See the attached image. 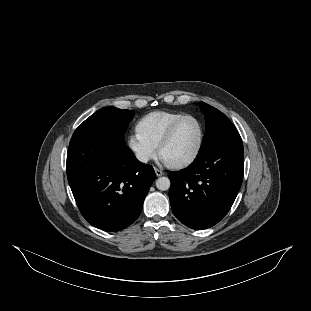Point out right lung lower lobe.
<instances>
[{"instance_id": "1", "label": "right lung lower lobe", "mask_w": 311, "mask_h": 311, "mask_svg": "<svg viewBox=\"0 0 311 311\" xmlns=\"http://www.w3.org/2000/svg\"><path fill=\"white\" fill-rule=\"evenodd\" d=\"M155 177L125 141L93 134L70 142L68 182L81 214L99 229L115 232L131 225Z\"/></svg>"}]
</instances>
